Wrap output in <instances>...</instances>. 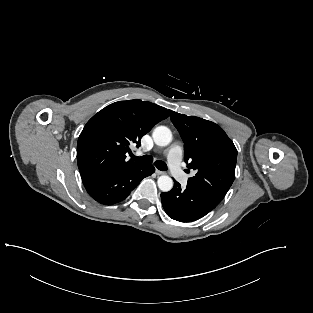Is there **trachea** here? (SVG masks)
Wrapping results in <instances>:
<instances>
[{"mask_svg": "<svg viewBox=\"0 0 313 313\" xmlns=\"http://www.w3.org/2000/svg\"><path fill=\"white\" fill-rule=\"evenodd\" d=\"M132 159L134 161L142 163V164H150L153 162V158L150 155H144L141 157H136V156L132 155ZM154 164L161 171L167 170V165L163 161H156Z\"/></svg>", "mask_w": 313, "mask_h": 313, "instance_id": "3493384b", "label": "trachea"}]
</instances>
